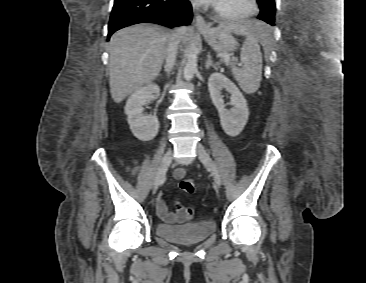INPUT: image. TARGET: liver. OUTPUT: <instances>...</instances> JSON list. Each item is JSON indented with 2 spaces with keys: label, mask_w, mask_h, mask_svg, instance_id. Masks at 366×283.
Listing matches in <instances>:
<instances>
[{
  "label": "liver",
  "mask_w": 366,
  "mask_h": 283,
  "mask_svg": "<svg viewBox=\"0 0 366 283\" xmlns=\"http://www.w3.org/2000/svg\"><path fill=\"white\" fill-rule=\"evenodd\" d=\"M219 27L241 36L265 35L264 31H268L249 22L221 23ZM186 31V28L181 31L183 40ZM172 33L160 25L141 23L113 34L109 42V85L116 103L158 76Z\"/></svg>",
  "instance_id": "obj_1"
}]
</instances>
